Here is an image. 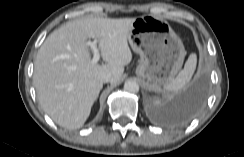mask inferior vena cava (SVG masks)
Returning a JSON list of instances; mask_svg holds the SVG:
<instances>
[{
  "label": "inferior vena cava",
  "mask_w": 244,
  "mask_h": 157,
  "mask_svg": "<svg viewBox=\"0 0 244 157\" xmlns=\"http://www.w3.org/2000/svg\"><path fill=\"white\" fill-rule=\"evenodd\" d=\"M100 80L103 82V83H107L111 80V74L110 73H103L101 76H100Z\"/></svg>",
  "instance_id": "obj_1"
}]
</instances>
